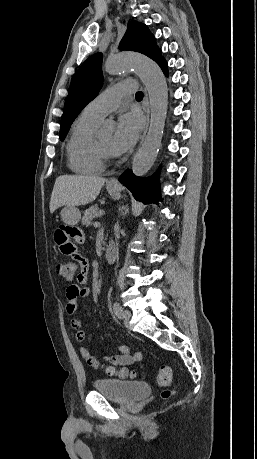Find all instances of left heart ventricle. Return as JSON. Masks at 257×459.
Returning <instances> with one entry per match:
<instances>
[{
  "label": "left heart ventricle",
  "mask_w": 257,
  "mask_h": 459,
  "mask_svg": "<svg viewBox=\"0 0 257 459\" xmlns=\"http://www.w3.org/2000/svg\"><path fill=\"white\" fill-rule=\"evenodd\" d=\"M113 137H114V136H113V133H112V132H106V133L101 134V135L98 137V139H99V141L101 142V144H102L105 148H107V149L113 151V149H112V146H113Z\"/></svg>",
  "instance_id": "b2bd125f"
}]
</instances>
